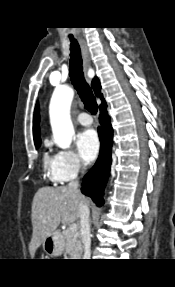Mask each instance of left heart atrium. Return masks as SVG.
Here are the masks:
<instances>
[{"mask_svg": "<svg viewBox=\"0 0 175 287\" xmlns=\"http://www.w3.org/2000/svg\"><path fill=\"white\" fill-rule=\"evenodd\" d=\"M76 145L81 157L88 162L96 158L100 147L98 136L92 129L81 132L77 136Z\"/></svg>", "mask_w": 175, "mask_h": 287, "instance_id": "left-heart-atrium-1", "label": "left heart atrium"}]
</instances>
